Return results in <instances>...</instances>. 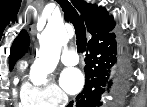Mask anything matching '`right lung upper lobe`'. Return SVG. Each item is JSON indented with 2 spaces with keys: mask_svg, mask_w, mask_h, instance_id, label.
<instances>
[{
  "mask_svg": "<svg viewBox=\"0 0 147 107\" xmlns=\"http://www.w3.org/2000/svg\"><path fill=\"white\" fill-rule=\"evenodd\" d=\"M71 2L80 12L81 19L86 22L87 31L92 35L88 46L99 43L111 34L110 31L114 28V20L109 17L104 8L88 4L83 0H71ZM29 44V36L25 30H22L12 44L9 67H14L16 61L28 50Z\"/></svg>",
  "mask_w": 147,
  "mask_h": 107,
  "instance_id": "right-lung-upper-lobe-1",
  "label": "right lung upper lobe"
}]
</instances>
